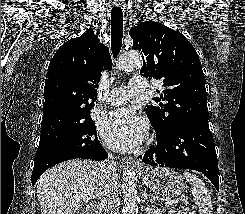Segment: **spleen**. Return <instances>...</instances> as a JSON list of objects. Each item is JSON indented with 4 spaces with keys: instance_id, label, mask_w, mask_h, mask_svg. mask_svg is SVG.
Returning a JSON list of instances; mask_svg holds the SVG:
<instances>
[{
    "instance_id": "1",
    "label": "spleen",
    "mask_w": 245,
    "mask_h": 214,
    "mask_svg": "<svg viewBox=\"0 0 245 214\" xmlns=\"http://www.w3.org/2000/svg\"><path fill=\"white\" fill-rule=\"evenodd\" d=\"M183 175L191 185L192 195L199 208V214H212L211 197L203 181L187 171Z\"/></svg>"
}]
</instances>
